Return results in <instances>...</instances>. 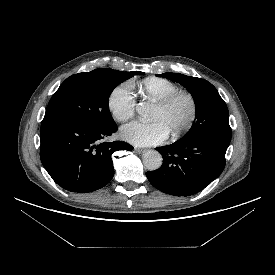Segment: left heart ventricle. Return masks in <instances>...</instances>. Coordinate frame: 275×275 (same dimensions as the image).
Segmentation results:
<instances>
[{"mask_svg":"<svg viewBox=\"0 0 275 275\" xmlns=\"http://www.w3.org/2000/svg\"><path fill=\"white\" fill-rule=\"evenodd\" d=\"M189 114L190 103L188 99L180 97L166 110L156 107L152 119L153 121H161L171 134L187 121Z\"/></svg>","mask_w":275,"mask_h":275,"instance_id":"1","label":"left heart ventricle"}]
</instances>
